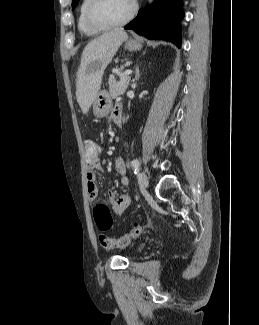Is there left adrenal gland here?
<instances>
[{
  "label": "left adrenal gland",
  "instance_id": "left-adrenal-gland-1",
  "mask_svg": "<svg viewBox=\"0 0 259 325\" xmlns=\"http://www.w3.org/2000/svg\"><path fill=\"white\" fill-rule=\"evenodd\" d=\"M139 78H140L139 67H137L136 68V72H135V79H134V81L139 80Z\"/></svg>",
  "mask_w": 259,
  "mask_h": 325
}]
</instances>
